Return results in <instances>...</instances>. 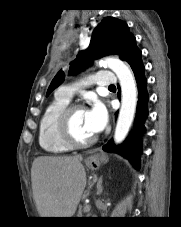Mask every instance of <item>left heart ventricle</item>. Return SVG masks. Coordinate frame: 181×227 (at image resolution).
<instances>
[{"mask_svg":"<svg viewBox=\"0 0 181 227\" xmlns=\"http://www.w3.org/2000/svg\"><path fill=\"white\" fill-rule=\"evenodd\" d=\"M72 130L79 139H88L94 136L87 121V110H77L72 117Z\"/></svg>","mask_w":181,"mask_h":227,"instance_id":"obj_1","label":"left heart ventricle"}]
</instances>
